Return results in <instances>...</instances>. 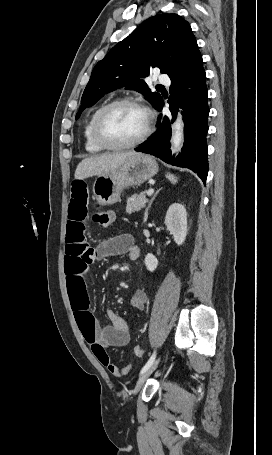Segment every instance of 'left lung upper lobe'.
<instances>
[{
  "label": "left lung upper lobe",
  "mask_w": 272,
  "mask_h": 455,
  "mask_svg": "<svg viewBox=\"0 0 272 455\" xmlns=\"http://www.w3.org/2000/svg\"><path fill=\"white\" fill-rule=\"evenodd\" d=\"M200 56L189 23L179 15L159 14L149 18L96 64L76 119L102 96L124 86L142 93L156 107L162 97L151 92L142 78L149 75L152 67L171 76Z\"/></svg>",
  "instance_id": "left-lung-upper-lobe-1"
}]
</instances>
